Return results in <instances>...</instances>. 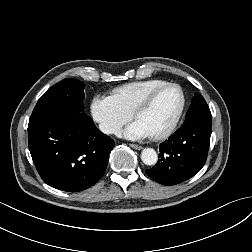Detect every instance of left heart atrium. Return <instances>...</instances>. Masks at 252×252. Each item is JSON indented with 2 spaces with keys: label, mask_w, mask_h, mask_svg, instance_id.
I'll return each instance as SVG.
<instances>
[{
  "label": "left heart atrium",
  "mask_w": 252,
  "mask_h": 252,
  "mask_svg": "<svg viewBox=\"0 0 252 252\" xmlns=\"http://www.w3.org/2000/svg\"><path fill=\"white\" fill-rule=\"evenodd\" d=\"M125 138L138 140L153 136L150 130L139 120H135L122 132Z\"/></svg>",
  "instance_id": "39dd6f15"
}]
</instances>
